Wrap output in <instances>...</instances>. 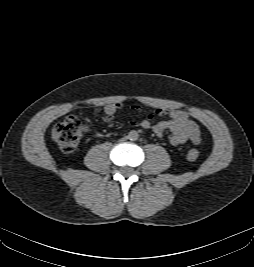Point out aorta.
Listing matches in <instances>:
<instances>
[{"instance_id":"aorta-1","label":"aorta","mask_w":254,"mask_h":267,"mask_svg":"<svg viewBox=\"0 0 254 267\" xmlns=\"http://www.w3.org/2000/svg\"><path fill=\"white\" fill-rule=\"evenodd\" d=\"M139 137L138 133L136 131H130L128 134V139L131 141L137 140Z\"/></svg>"}]
</instances>
